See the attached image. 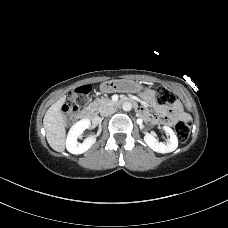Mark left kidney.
Masks as SVG:
<instances>
[{"label":"left kidney","instance_id":"left-kidney-1","mask_svg":"<svg viewBox=\"0 0 228 228\" xmlns=\"http://www.w3.org/2000/svg\"><path fill=\"white\" fill-rule=\"evenodd\" d=\"M163 129L170 136L167 143L159 142L152 133L145 134L144 141L153 151L157 153L164 154L173 152L178 147V138L170 127L164 126Z\"/></svg>","mask_w":228,"mask_h":228}]
</instances>
